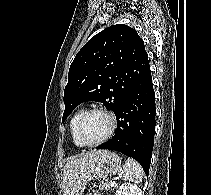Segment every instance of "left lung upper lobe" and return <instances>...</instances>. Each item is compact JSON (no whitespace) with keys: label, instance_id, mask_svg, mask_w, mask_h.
<instances>
[{"label":"left lung upper lobe","instance_id":"1","mask_svg":"<svg viewBox=\"0 0 211 195\" xmlns=\"http://www.w3.org/2000/svg\"><path fill=\"white\" fill-rule=\"evenodd\" d=\"M148 66L144 42L135 29L123 24L104 29L71 63L62 121L86 101L101 102L116 113Z\"/></svg>","mask_w":211,"mask_h":195}]
</instances>
